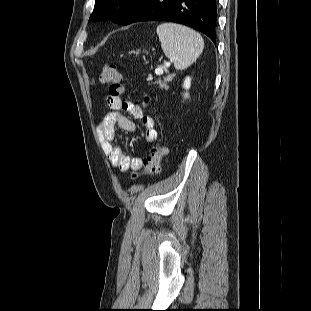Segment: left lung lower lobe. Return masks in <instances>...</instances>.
Returning a JSON list of instances; mask_svg holds the SVG:
<instances>
[{"label": "left lung lower lobe", "mask_w": 311, "mask_h": 311, "mask_svg": "<svg viewBox=\"0 0 311 311\" xmlns=\"http://www.w3.org/2000/svg\"><path fill=\"white\" fill-rule=\"evenodd\" d=\"M216 0H138L119 24L140 21H170L192 27L216 38Z\"/></svg>", "instance_id": "obj_1"}]
</instances>
